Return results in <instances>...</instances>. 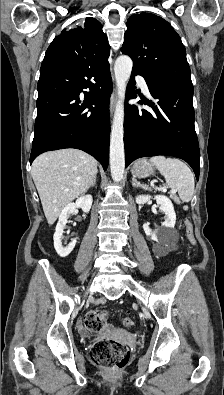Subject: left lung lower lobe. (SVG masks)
Instances as JSON below:
<instances>
[{
	"label": "left lung lower lobe",
	"instance_id": "obj_1",
	"mask_svg": "<svg viewBox=\"0 0 224 395\" xmlns=\"http://www.w3.org/2000/svg\"><path fill=\"white\" fill-rule=\"evenodd\" d=\"M136 75L144 77L156 102H144L152 107V112L126 104L125 167L140 157L169 155L185 160L198 180L200 151L194 127L193 85L157 79L132 70L126 100L136 98L133 90Z\"/></svg>",
	"mask_w": 224,
	"mask_h": 395
}]
</instances>
